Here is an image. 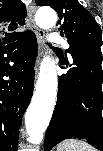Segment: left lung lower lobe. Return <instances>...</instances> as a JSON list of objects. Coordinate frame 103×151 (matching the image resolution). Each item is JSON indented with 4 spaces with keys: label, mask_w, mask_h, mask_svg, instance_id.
Here are the masks:
<instances>
[{
    "label": "left lung lower lobe",
    "mask_w": 103,
    "mask_h": 151,
    "mask_svg": "<svg viewBox=\"0 0 103 151\" xmlns=\"http://www.w3.org/2000/svg\"><path fill=\"white\" fill-rule=\"evenodd\" d=\"M71 67L59 77L58 98L47 129L44 149L49 151L70 138L88 141L103 151V70L98 46L75 47L69 52Z\"/></svg>",
    "instance_id": "obj_1"
}]
</instances>
